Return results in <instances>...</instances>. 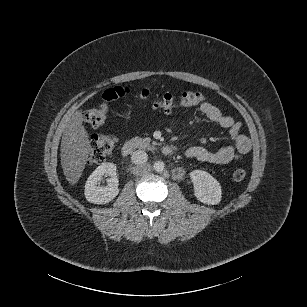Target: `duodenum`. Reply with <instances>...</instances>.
Wrapping results in <instances>:
<instances>
[{
	"mask_svg": "<svg viewBox=\"0 0 307 307\" xmlns=\"http://www.w3.org/2000/svg\"><path fill=\"white\" fill-rule=\"evenodd\" d=\"M143 149V150H149V151H158L161 152L165 156H171L174 154V148L169 145H155L150 143L149 141H146L142 138H132L127 140L122 145V154L124 156H128L133 151Z\"/></svg>",
	"mask_w": 307,
	"mask_h": 307,
	"instance_id": "410a0bca",
	"label": "duodenum"
}]
</instances>
